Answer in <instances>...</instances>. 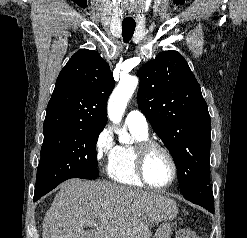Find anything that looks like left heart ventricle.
I'll return each mask as SVG.
<instances>
[{"instance_id":"b2bd125f","label":"left heart ventricle","mask_w":247,"mask_h":238,"mask_svg":"<svg viewBox=\"0 0 247 238\" xmlns=\"http://www.w3.org/2000/svg\"><path fill=\"white\" fill-rule=\"evenodd\" d=\"M145 172L148 180L155 185L168 183L172 176V168L167 156L158 149L152 150L147 156Z\"/></svg>"}]
</instances>
